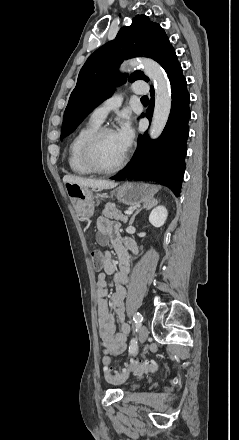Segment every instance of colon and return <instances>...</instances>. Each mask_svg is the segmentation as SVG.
I'll return each mask as SVG.
<instances>
[{"mask_svg": "<svg viewBox=\"0 0 239 440\" xmlns=\"http://www.w3.org/2000/svg\"><path fill=\"white\" fill-rule=\"evenodd\" d=\"M92 264L94 269L100 270L103 266V256L98 250H95L91 254ZM112 360L109 356L103 358V372L104 376L113 382H120L125 380L131 373L144 374L153 371L156 367L152 361H130L126 364L125 368L119 372H112L111 368Z\"/></svg>", "mask_w": 239, "mask_h": 440, "instance_id": "obj_1", "label": "colon"}]
</instances>
